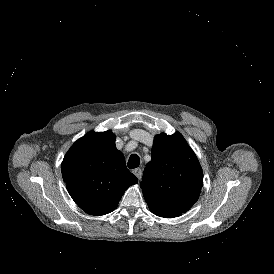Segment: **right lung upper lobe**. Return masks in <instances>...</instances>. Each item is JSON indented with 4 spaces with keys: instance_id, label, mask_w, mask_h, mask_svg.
<instances>
[{
    "instance_id": "1",
    "label": "right lung upper lobe",
    "mask_w": 274,
    "mask_h": 274,
    "mask_svg": "<svg viewBox=\"0 0 274 274\" xmlns=\"http://www.w3.org/2000/svg\"><path fill=\"white\" fill-rule=\"evenodd\" d=\"M112 131L89 132L66 153L61 169L75 203L91 215H105L118 205L125 190L138 182L115 146Z\"/></svg>"
}]
</instances>
